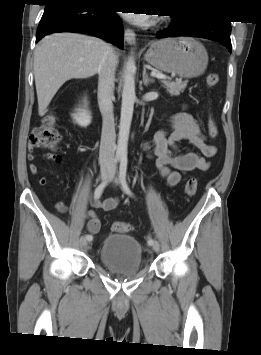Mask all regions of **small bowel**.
Returning <instances> with one entry per match:
<instances>
[{"instance_id": "1", "label": "small bowel", "mask_w": 261, "mask_h": 355, "mask_svg": "<svg viewBox=\"0 0 261 355\" xmlns=\"http://www.w3.org/2000/svg\"><path fill=\"white\" fill-rule=\"evenodd\" d=\"M180 141L189 142L197 151H182L178 146ZM144 149L151 157H155L159 174L169 186H177L181 182L182 174L193 170H208L211 166L209 159L217 153V148L207 143L199 124L194 116L188 112H180L174 115L168 127L158 130L151 141L148 140L144 143ZM27 157L29 160L35 158L31 145H29ZM47 158L56 162L61 161L59 156H47ZM29 170L33 175L39 172L38 166L33 163L30 164ZM40 183L45 185L47 179L41 178ZM91 204L95 208L112 211L118 206L119 199L116 197L103 201L95 199L91 201ZM59 206L63 207L62 204H59ZM70 212L74 213L73 210ZM85 215L88 218L87 228L89 232L92 234L98 233L101 222L96 213L93 210H87Z\"/></svg>"}]
</instances>
